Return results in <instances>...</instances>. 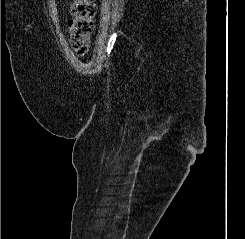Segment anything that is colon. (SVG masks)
I'll use <instances>...</instances> for the list:
<instances>
[{
  "instance_id": "obj_1",
  "label": "colon",
  "mask_w": 245,
  "mask_h": 239,
  "mask_svg": "<svg viewBox=\"0 0 245 239\" xmlns=\"http://www.w3.org/2000/svg\"><path fill=\"white\" fill-rule=\"evenodd\" d=\"M69 42L79 55H85L90 46L97 6L94 0H73L70 5Z\"/></svg>"
}]
</instances>
